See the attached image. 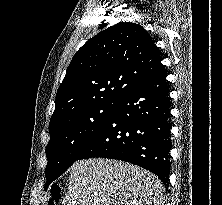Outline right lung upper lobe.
Segmentation results:
<instances>
[{
  "label": "right lung upper lobe",
  "instance_id": "1",
  "mask_svg": "<svg viewBox=\"0 0 222 205\" xmlns=\"http://www.w3.org/2000/svg\"><path fill=\"white\" fill-rule=\"evenodd\" d=\"M161 60L154 40L136 23L120 22L98 33L71 60L49 125L88 106L121 101L164 71Z\"/></svg>",
  "mask_w": 222,
  "mask_h": 205
}]
</instances>
